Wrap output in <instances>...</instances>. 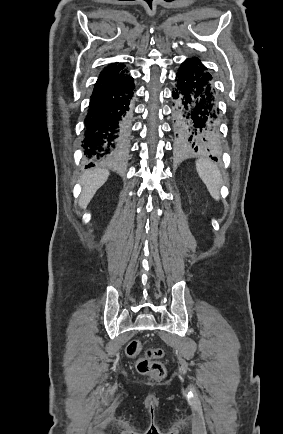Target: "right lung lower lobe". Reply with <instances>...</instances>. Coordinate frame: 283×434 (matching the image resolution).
Wrapping results in <instances>:
<instances>
[{"instance_id": "obj_1", "label": "right lung lower lobe", "mask_w": 283, "mask_h": 434, "mask_svg": "<svg viewBox=\"0 0 283 434\" xmlns=\"http://www.w3.org/2000/svg\"><path fill=\"white\" fill-rule=\"evenodd\" d=\"M134 81L94 91L85 122L84 153L90 163L116 162L124 157L128 142L129 104Z\"/></svg>"}]
</instances>
